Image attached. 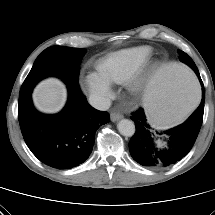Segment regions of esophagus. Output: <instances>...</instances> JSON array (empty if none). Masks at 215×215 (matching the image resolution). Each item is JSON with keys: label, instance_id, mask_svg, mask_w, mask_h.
Returning a JSON list of instances; mask_svg holds the SVG:
<instances>
[{"label": "esophagus", "instance_id": "1", "mask_svg": "<svg viewBox=\"0 0 215 215\" xmlns=\"http://www.w3.org/2000/svg\"><path fill=\"white\" fill-rule=\"evenodd\" d=\"M110 118H111V121H112V122H116V121H118L119 119L123 118V115L120 114V113H117V112H112V113L110 114Z\"/></svg>", "mask_w": 215, "mask_h": 215}]
</instances>
